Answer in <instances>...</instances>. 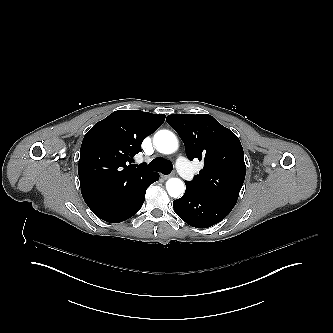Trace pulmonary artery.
<instances>
[{
  "label": "pulmonary artery",
  "mask_w": 333,
  "mask_h": 333,
  "mask_svg": "<svg viewBox=\"0 0 333 333\" xmlns=\"http://www.w3.org/2000/svg\"><path fill=\"white\" fill-rule=\"evenodd\" d=\"M175 162V169L180 172L182 177H185L188 182H194L196 180V175L193 173V168L187 162L185 157L182 155H177L175 157Z\"/></svg>",
  "instance_id": "e3ab8cb5"
}]
</instances>
